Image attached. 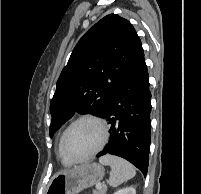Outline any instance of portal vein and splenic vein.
<instances>
[{"mask_svg":"<svg viewBox=\"0 0 201 194\" xmlns=\"http://www.w3.org/2000/svg\"><path fill=\"white\" fill-rule=\"evenodd\" d=\"M101 187H102V184L101 183H98L97 185H96V188L99 190V189H101Z\"/></svg>","mask_w":201,"mask_h":194,"instance_id":"18ae733b","label":"portal vein and splenic vein"}]
</instances>
